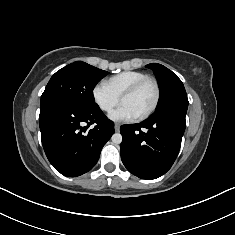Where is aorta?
<instances>
[{
	"instance_id": "762f6f07",
	"label": "aorta",
	"mask_w": 235,
	"mask_h": 235,
	"mask_svg": "<svg viewBox=\"0 0 235 235\" xmlns=\"http://www.w3.org/2000/svg\"><path fill=\"white\" fill-rule=\"evenodd\" d=\"M111 139L114 144H120L122 142V135L120 133H115Z\"/></svg>"
}]
</instances>
